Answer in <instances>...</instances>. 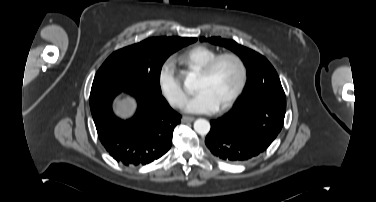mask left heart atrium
I'll return each instance as SVG.
<instances>
[{"mask_svg":"<svg viewBox=\"0 0 376 202\" xmlns=\"http://www.w3.org/2000/svg\"><path fill=\"white\" fill-rule=\"evenodd\" d=\"M184 109L192 113H211L216 111L218 106L208 91L200 89L185 101Z\"/></svg>","mask_w":376,"mask_h":202,"instance_id":"1","label":"left heart atrium"}]
</instances>
